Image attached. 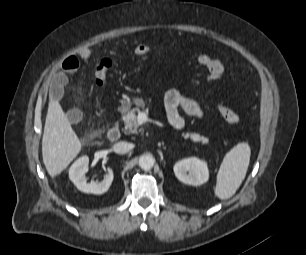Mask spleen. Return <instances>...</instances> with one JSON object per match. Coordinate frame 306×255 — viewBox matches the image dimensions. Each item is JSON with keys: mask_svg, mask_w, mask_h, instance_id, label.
<instances>
[{"mask_svg": "<svg viewBox=\"0 0 306 255\" xmlns=\"http://www.w3.org/2000/svg\"><path fill=\"white\" fill-rule=\"evenodd\" d=\"M250 154L251 150L247 142L238 143L226 153L217 173L214 189L219 199H229L236 193L246 176Z\"/></svg>", "mask_w": 306, "mask_h": 255, "instance_id": "3e777b00", "label": "spleen"}]
</instances>
